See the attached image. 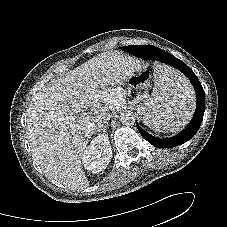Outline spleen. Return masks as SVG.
<instances>
[{"label":"spleen","instance_id":"spleen-1","mask_svg":"<svg viewBox=\"0 0 227 227\" xmlns=\"http://www.w3.org/2000/svg\"><path fill=\"white\" fill-rule=\"evenodd\" d=\"M152 97L138 108L143 123L154 130L178 131L193 114V91L185 77L166 66L154 71Z\"/></svg>","mask_w":227,"mask_h":227}]
</instances>
